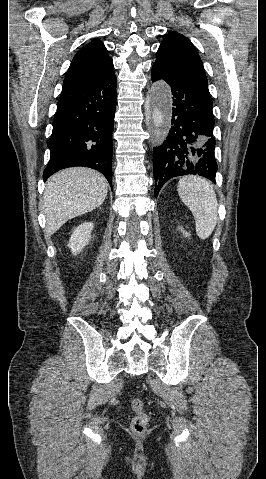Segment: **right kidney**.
<instances>
[{
	"mask_svg": "<svg viewBox=\"0 0 266 479\" xmlns=\"http://www.w3.org/2000/svg\"><path fill=\"white\" fill-rule=\"evenodd\" d=\"M92 222H85L79 225L71 235L68 247L74 255H77L89 243L91 232L93 230Z\"/></svg>",
	"mask_w": 266,
	"mask_h": 479,
	"instance_id": "1",
	"label": "right kidney"
}]
</instances>
